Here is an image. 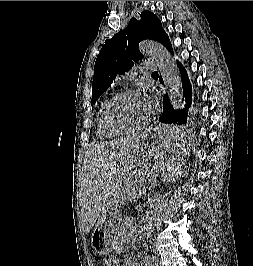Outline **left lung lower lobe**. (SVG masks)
<instances>
[{
	"instance_id": "obj_1",
	"label": "left lung lower lobe",
	"mask_w": 253,
	"mask_h": 266,
	"mask_svg": "<svg viewBox=\"0 0 253 266\" xmlns=\"http://www.w3.org/2000/svg\"><path fill=\"white\" fill-rule=\"evenodd\" d=\"M163 45L173 54V50H172V46H171V42L169 38L166 39ZM177 65L179 67L182 80H183L182 85H183V92L185 96L186 106L183 110H180V109L174 110L172 108L168 95H165L163 97V113L159 118V122L163 124L172 125L171 128L173 130H176L179 135H182V131L180 130V128L174 127V125H182L187 122V110L191 105L192 92H191V85L188 80L187 73L184 67L179 62H177ZM159 81L160 83L163 84V79L161 77L159 78Z\"/></svg>"
}]
</instances>
